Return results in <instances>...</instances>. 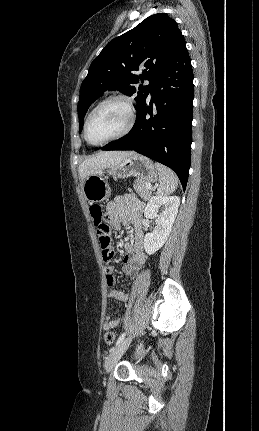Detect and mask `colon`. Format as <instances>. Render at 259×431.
<instances>
[{"instance_id":"5ec220e1","label":"colon","mask_w":259,"mask_h":431,"mask_svg":"<svg viewBox=\"0 0 259 431\" xmlns=\"http://www.w3.org/2000/svg\"><path fill=\"white\" fill-rule=\"evenodd\" d=\"M89 211L97 230L103 258L111 260L114 257V251L111 246V230L109 224L104 219L103 209L100 205L93 204L90 206ZM104 340L107 345H112L115 341V333L112 330H107Z\"/></svg>"}]
</instances>
